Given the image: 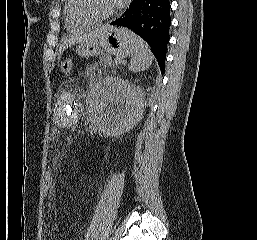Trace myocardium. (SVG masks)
<instances>
[{"mask_svg":"<svg viewBox=\"0 0 257 240\" xmlns=\"http://www.w3.org/2000/svg\"><path fill=\"white\" fill-rule=\"evenodd\" d=\"M77 1V10L79 12V14L85 18L86 20L88 21H91L93 22L94 24H97V23H102V22H105V21H108L109 19H111L115 13H116V10L115 8L109 12L108 14H105V15H97L95 14L90 6H89V0H76Z\"/></svg>","mask_w":257,"mask_h":240,"instance_id":"1","label":"myocardium"}]
</instances>
